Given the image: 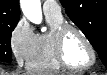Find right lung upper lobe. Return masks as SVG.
Wrapping results in <instances>:
<instances>
[{
  "label": "right lung upper lobe",
  "instance_id": "obj_1",
  "mask_svg": "<svg viewBox=\"0 0 107 75\" xmlns=\"http://www.w3.org/2000/svg\"><path fill=\"white\" fill-rule=\"evenodd\" d=\"M19 16V0H0V25L18 23Z\"/></svg>",
  "mask_w": 107,
  "mask_h": 75
}]
</instances>
